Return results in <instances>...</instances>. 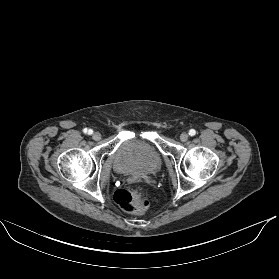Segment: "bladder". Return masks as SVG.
<instances>
[{
  "label": "bladder",
  "instance_id": "obj_1",
  "mask_svg": "<svg viewBox=\"0 0 279 279\" xmlns=\"http://www.w3.org/2000/svg\"><path fill=\"white\" fill-rule=\"evenodd\" d=\"M113 167L121 175L137 180L146 179L161 169L159 153L149 142L125 139L114 151Z\"/></svg>",
  "mask_w": 279,
  "mask_h": 279
}]
</instances>
